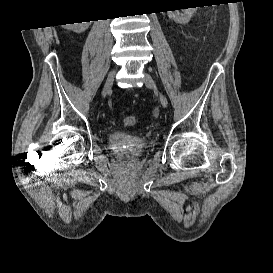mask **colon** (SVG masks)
<instances>
[{"mask_svg": "<svg viewBox=\"0 0 273 273\" xmlns=\"http://www.w3.org/2000/svg\"><path fill=\"white\" fill-rule=\"evenodd\" d=\"M136 122V117L133 115H129L124 118V125L128 127L134 126Z\"/></svg>", "mask_w": 273, "mask_h": 273, "instance_id": "colon-1", "label": "colon"}]
</instances>
